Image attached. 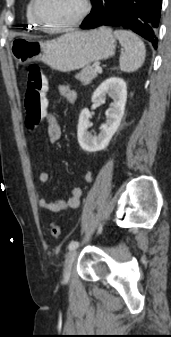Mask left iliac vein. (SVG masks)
<instances>
[{
  "label": "left iliac vein",
  "mask_w": 171,
  "mask_h": 337,
  "mask_svg": "<svg viewBox=\"0 0 171 337\" xmlns=\"http://www.w3.org/2000/svg\"><path fill=\"white\" fill-rule=\"evenodd\" d=\"M76 257H77L76 250H71L66 256L65 263H64V269H63V278L65 281H68L70 279L71 269L76 260Z\"/></svg>",
  "instance_id": "4c4485c4"
}]
</instances>
